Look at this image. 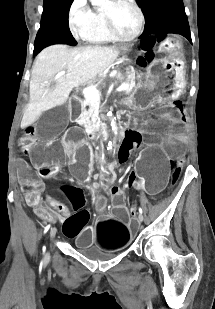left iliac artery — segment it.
<instances>
[{"instance_id": "obj_1", "label": "left iliac artery", "mask_w": 215, "mask_h": 309, "mask_svg": "<svg viewBox=\"0 0 215 309\" xmlns=\"http://www.w3.org/2000/svg\"><path fill=\"white\" fill-rule=\"evenodd\" d=\"M139 214H140V215H143V210H142V208H139Z\"/></svg>"}]
</instances>
